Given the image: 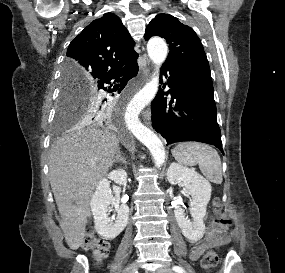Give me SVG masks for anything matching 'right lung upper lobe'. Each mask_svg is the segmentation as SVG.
<instances>
[{"label":"right lung upper lobe","mask_w":285,"mask_h":273,"mask_svg":"<svg viewBox=\"0 0 285 273\" xmlns=\"http://www.w3.org/2000/svg\"><path fill=\"white\" fill-rule=\"evenodd\" d=\"M134 41L113 13L94 20L73 39L67 50L64 70L92 84L97 78L135 62Z\"/></svg>","instance_id":"1"}]
</instances>
